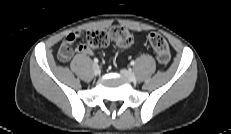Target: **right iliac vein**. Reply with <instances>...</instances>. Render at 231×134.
Returning <instances> with one entry per match:
<instances>
[{
    "label": "right iliac vein",
    "mask_w": 231,
    "mask_h": 134,
    "mask_svg": "<svg viewBox=\"0 0 231 134\" xmlns=\"http://www.w3.org/2000/svg\"><path fill=\"white\" fill-rule=\"evenodd\" d=\"M93 72H94V75H98L100 73V68L97 64L93 65Z\"/></svg>",
    "instance_id": "right-iliac-vein-1"
}]
</instances>
